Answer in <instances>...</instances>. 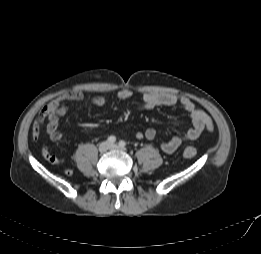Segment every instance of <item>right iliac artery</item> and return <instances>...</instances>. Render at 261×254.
I'll return each mask as SVG.
<instances>
[{"label": "right iliac artery", "instance_id": "right-iliac-artery-1", "mask_svg": "<svg viewBox=\"0 0 261 254\" xmlns=\"http://www.w3.org/2000/svg\"><path fill=\"white\" fill-rule=\"evenodd\" d=\"M107 141H108L109 143H115L116 137H115V136H109L108 139H107Z\"/></svg>", "mask_w": 261, "mask_h": 254}]
</instances>
